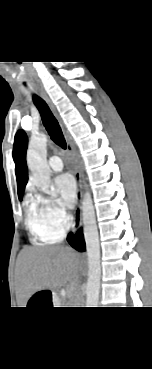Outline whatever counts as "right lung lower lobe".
Returning <instances> with one entry per match:
<instances>
[{"label": "right lung lower lobe", "mask_w": 152, "mask_h": 369, "mask_svg": "<svg viewBox=\"0 0 152 369\" xmlns=\"http://www.w3.org/2000/svg\"><path fill=\"white\" fill-rule=\"evenodd\" d=\"M68 242L76 250L80 252L85 251V241H84L82 229H80L75 235L70 233L68 236Z\"/></svg>", "instance_id": "right-lung-lower-lobe-1"}]
</instances>
